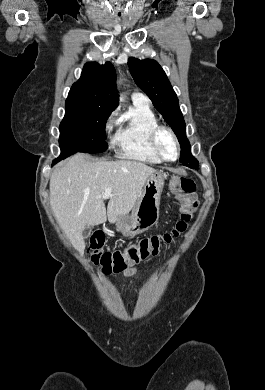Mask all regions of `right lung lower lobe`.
<instances>
[{
  "label": "right lung lower lobe",
  "instance_id": "obj_1",
  "mask_svg": "<svg viewBox=\"0 0 265 390\" xmlns=\"http://www.w3.org/2000/svg\"><path fill=\"white\" fill-rule=\"evenodd\" d=\"M59 160H60V158L54 160L52 165H54V164H55L56 162H58Z\"/></svg>",
  "mask_w": 265,
  "mask_h": 390
}]
</instances>
